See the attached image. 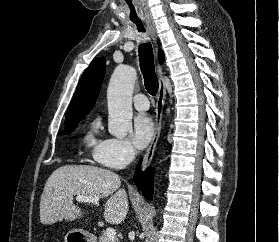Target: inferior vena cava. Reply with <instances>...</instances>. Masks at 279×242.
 Wrapping results in <instances>:
<instances>
[{
  "mask_svg": "<svg viewBox=\"0 0 279 242\" xmlns=\"http://www.w3.org/2000/svg\"><path fill=\"white\" fill-rule=\"evenodd\" d=\"M135 153L132 151L131 156H130V160H132L134 158Z\"/></svg>",
  "mask_w": 279,
  "mask_h": 242,
  "instance_id": "inferior-vena-cava-1",
  "label": "inferior vena cava"
}]
</instances>
